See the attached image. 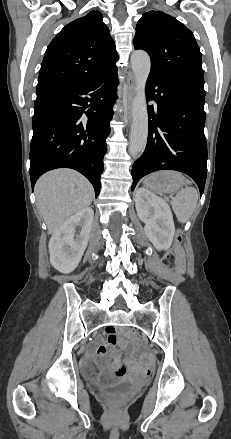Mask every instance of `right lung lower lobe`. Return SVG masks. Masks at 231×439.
<instances>
[{
	"instance_id": "1",
	"label": "right lung lower lobe",
	"mask_w": 231,
	"mask_h": 439,
	"mask_svg": "<svg viewBox=\"0 0 231 439\" xmlns=\"http://www.w3.org/2000/svg\"><path fill=\"white\" fill-rule=\"evenodd\" d=\"M117 85L113 67L82 85L37 93L30 145L32 188L46 171L68 167L82 173L98 197ZM42 109L47 111L36 113Z\"/></svg>"
}]
</instances>
